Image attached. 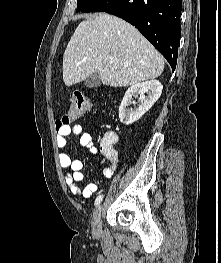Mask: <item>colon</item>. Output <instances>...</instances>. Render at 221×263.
<instances>
[{"instance_id":"5ec220e1","label":"colon","mask_w":221,"mask_h":263,"mask_svg":"<svg viewBox=\"0 0 221 263\" xmlns=\"http://www.w3.org/2000/svg\"><path fill=\"white\" fill-rule=\"evenodd\" d=\"M90 108L91 102L87 97L81 94L73 95L68 112L56 121L57 129L67 127L72 121L89 111Z\"/></svg>"}]
</instances>
